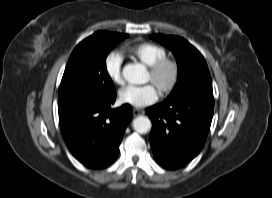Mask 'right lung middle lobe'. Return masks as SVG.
<instances>
[{
	"label": "right lung middle lobe",
	"mask_w": 272,
	"mask_h": 198,
	"mask_svg": "<svg viewBox=\"0 0 272 198\" xmlns=\"http://www.w3.org/2000/svg\"><path fill=\"white\" fill-rule=\"evenodd\" d=\"M127 34L108 33L76 46L66 65L58 95V106L80 101H102L116 94L106 70V57Z\"/></svg>",
	"instance_id": "right-lung-middle-lobe-1"
}]
</instances>
